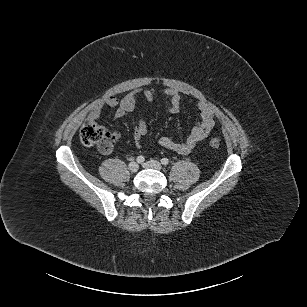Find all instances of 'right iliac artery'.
<instances>
[{"label": "right iliac artery", "mask_w": 307, "mask_h": 307, "mask_svg": "<svg viewBox=\"0 0 307 307\" xmlns=\"http://www.w3.org/2000/svg\"><path fill=\"white\" fill-rule=\"evenodd\" d=\"M136 161L141 164L145 161V158L143 156H138Z\"/></svg>", "instance_id": "obj_1"}]
</instances>
